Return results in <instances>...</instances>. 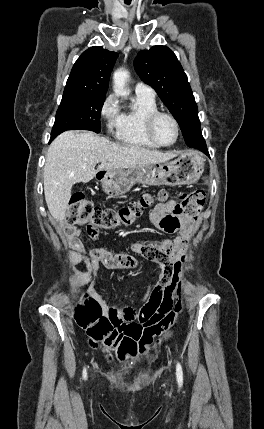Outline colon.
<instances>
[{
    "label": "colon",
    "mask_w": 264,
    "mask_h": 429,
    "mask_svg": "<svg viewBox=\"0 0 264 429\" xmlns=\"http://www.w3.org/2000/svg\"><path fill=\"white\" fill-rule=\"evenodd\" d=\"M168 197V193L162 191L157 199L165 201ZM178 199L180 210L189 218L196 219L204 206L206 194L203 190L196 189L180 194ZM153 202L152 196L145 195L115 209L94 204L78 193L70 200L66 222L70 227L86 225L88 232L97 233L101 228L113 229L120 225H130ZM133 318L134 314L129 307L111 308L108 314H104L100 305L91 298L80 300L74 309V319L86 330L90 345L115 351L121 361L129 360L136 353L135 343L124 338V332L129 330Z\"/></svg>",
    "instance_id": "5ec220e1"
}]
</instances>
